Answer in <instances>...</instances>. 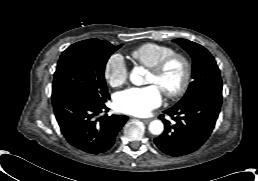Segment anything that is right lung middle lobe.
<instances>
[{
	"mask_svg": "<svg viewBox=\"0 0 258 181\" xmlns=\"http://www.w3.org/2000/svg\"><path fill=\"white\" fill-rule=\"evenodd\" d=\"M107 41L89 39L68 47L54 74L52 98L71 95L93 104L109 99L104 70L110 55L119 49Z\"/></svg>",
	"mask_w": 258,
	"mask_h": 181,
	"instance_id": "obj_1",
	"label": "right lung middle lobe"
}]
</instances>
